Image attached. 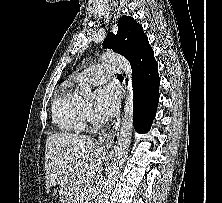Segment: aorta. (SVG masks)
Masks as SVG:
<instances>
[{
	"label": "aorta",
	"instance_id": "1",
	"mask_svg": "<svg viewBox=\"0 0 222 203\" xmlns=\"http://www.w3.org/2000/svg\"><path fill=\"white\" fill-rule=\"evenodd\" d=\"M104 62L117 65L128 78L127 96L125 99L124 114L122 117L118 143L115 149V156L108 170L107 177L103 183L98 196V203H107L108 196L117 180L119 172L123 167L129 147L131 144L133 131V87H132V68L130 62L122 55L107 51L100 56ZM81 93L84 96L90 97L92 95L91 86L89 84L81 85Z\"/></svg>",
	"mask_w": 222,
	"mask_h": 203
}]
</instances>
